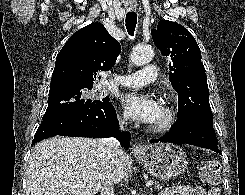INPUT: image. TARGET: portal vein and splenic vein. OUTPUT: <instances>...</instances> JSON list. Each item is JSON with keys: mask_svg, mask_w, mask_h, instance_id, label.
<instances>
[{"mask_svg": "<svg viewBox=\"0 0 245 195\" xmlns=\"http://www.w3.org/2000/svg\"><path fill=\"white\" fill-rule=\"evenodd\" d=\"M78 184H82V182H81V181H78ZM153 184H154L153 181H148V182L146 183V186H152Z\"/></svg>", "mask_w": 245, "mask_h": 195, "instance_id": "portal-vein-and-splenic-vein-1", "label": "portal vein and splenic vein"}]
</instances>
